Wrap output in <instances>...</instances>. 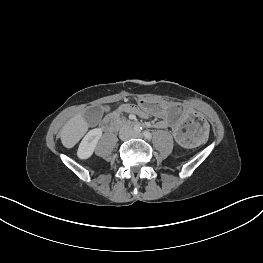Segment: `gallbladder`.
Wrapping results in <instances>:
<instances>
[{
	"label": "gallbladder",
	"instance_id": "1",
	"mask_svg": "<svg viewBox=\"0 0 263 263\" xmlns=\"http://www.w3.org/2000/svg\"><path fill=\"white\" fill-rule=\"evenodd\" d=\"M103 115V109L101 106H93L87 109L84 113V117L89 125H97Z\"/></svg>",
	"mask_w": 263,
	"mask_h": 263
}]
</instances>
